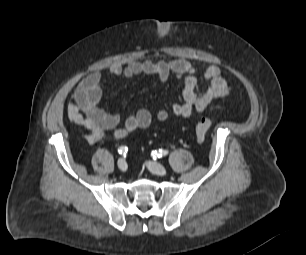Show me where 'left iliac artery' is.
Returning a JSON list of instances; mask_svg holds the SVG:
<instances>
[{"mask_svg":"<svg viewBox=\"0 0 306 255\" xmlns=\"http://www.w3.org/2000/svg\"><path fill=\"white\" fill-rule=\"evenodd\" d=\"M167 154H168V150H163V149H159L158 151L155 150L151 152V155L154 159L161 158L163 156H166Z\"/></svg>","mask_w":306,"mask_h":255,"instance_id":"1","label":"left iliac artery"}]
</instances>
